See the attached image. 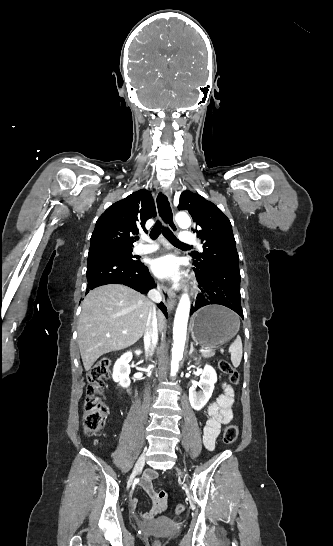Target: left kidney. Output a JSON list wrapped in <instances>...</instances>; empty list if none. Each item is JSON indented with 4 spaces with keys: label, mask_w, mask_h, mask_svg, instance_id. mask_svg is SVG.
Returning a JSON list of instances; mask_svg holds the SVG:
<instances>
[{
    "label": "left kidney",
    "mask_w": 333,
    "mask_h": 546,
    "mask_svg": "<svg viewBox=\"0 0 333 546\" xmlns=\"http://www.w3.org/2000/svg\"><path fill=\"white\" fill-rule=\"evenodd\" d=\"M217 382V374L215 370L206 365L201 373L199 386L202 392L197 393L194 386L189 389V401L191 406L199 411L201 410L212 396L214 384Z\"/></svg>",
    "instance_id": "1"
}]
</instances>
